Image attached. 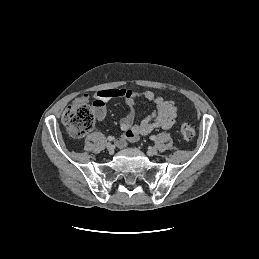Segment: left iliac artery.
Masks as SVG:
<instances>
[{"mask_svg": "<svg viewBox=\"0 0 259 259\" xmlns=\"http://www.w3.org/2000/svg\"><path fill=\"white\" fill-rule=\"evenodd\" d=\"M150 139H151V140H156V136H155V135H152V136L150 137Z\"/></svg>", "mask_w": 259, "mask_h": 259, "instance_id": "44dca946", "label": "left iliac artery"}]
</instances>
